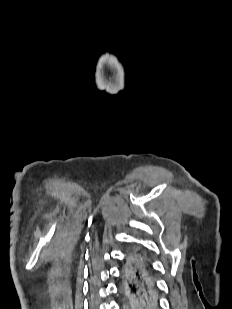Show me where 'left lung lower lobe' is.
Returning <instances> with one entry per match:
<instances>
[{
  "label": "left lung lower lobe",
  "mask_w": 232,
  "mask_h": 309,
  "mask_svg": "<svg viewBox=\"0 0 232 309\" xmlns=\"http://www.w3.org/2000/svg\"><path fill=\"white\" fill-rule=\"evenodd\" d=\"M123 291L131 297V309H158L159 296L150 258L140 249H132L122 270Z\"/></svg>",
  "instance_id": "left-lung-lower-lobe-1"
}]
</instances>
